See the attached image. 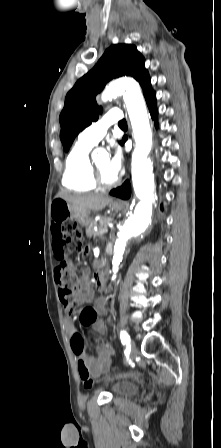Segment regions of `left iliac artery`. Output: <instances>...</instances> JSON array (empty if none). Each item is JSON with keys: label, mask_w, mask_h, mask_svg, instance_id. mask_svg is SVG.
Segmentation results:
<instances>
[{"label": "left iliac artery", "mask_w": 221, "mask_h": 448, "mask_svg": "<svg viewBox=\"0 0 221 448\" xmlns=\"http://www.w3.org/2000/svg\"><path fill=\"white\" fill-rule=\"evenodd\" d=\"M120 338L124 345L130 344V336L128 335V333L126 331L123 330L120 332Z\"/></svg>", "instance_id": "obj_1"}]
</instances>
